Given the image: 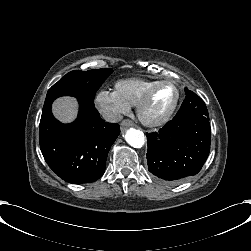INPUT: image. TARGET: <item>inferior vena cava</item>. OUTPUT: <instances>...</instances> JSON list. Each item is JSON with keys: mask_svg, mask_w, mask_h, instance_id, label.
Instances as JSON below:
<instances>
[{"mask_svg": "<svg viewBox=\"0 0 251 251\" xmlns=\"http://www.w3.org/2000/svg\"><path fill=\"white\" fill-rule=\"evenodd\" d=\"M102 116L107 122H119L123 119V116L121 114L107 110L102 112Z\"/></svg>", "mask_w": 251, "mask_h": 251, "instance_id": "1", "label": "inferior vena cava"}]
</instances>
